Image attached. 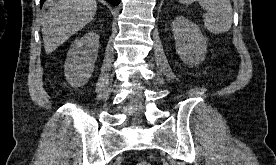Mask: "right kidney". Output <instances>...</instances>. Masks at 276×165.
I'll use <instances>...</instances> for the list:
<instances>
[{
	"label": "right kidney",
	"instance_id": "obj_1",
	"mask_svg": "<svg viewBox=\"0 0 276 165\" xmlns=\"http://www.w3.org/2000/svg\"><path fill=\"white\" fill-rule=\"evenodd\" d=\"M99 48L98 34L90 31L76 39L67 53L64 72L73 87L84 86L94 71Z\"/></svg>",
	"mask_w": 276,
	"mask_h": 165
}]
</instances>
